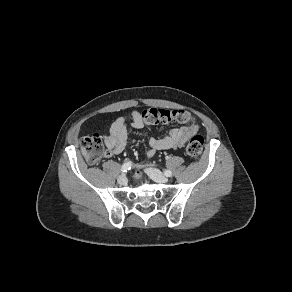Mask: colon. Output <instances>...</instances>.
Here are the masks:
<instances>
[{
	"label": "colon",
	"mask_w": 292,
	"mask_h": 292,
	"mask_svg": "<svg viewBox=\"0 0 292 292\" xmlns=\"http://www.w3.org/2000/svg\"><path fill=\"white\" fill-rule=\"evenodd\" d=\"M142 116L148 123L158 122H186L188 116L184 110L147 109ZM80 148L86 161L90 164L98 162L103 154L104 147L102 137L99 134L85 136L80 140ZM204 139L200 135L193 136L187 144L186 152L193 158H199L203 152Z\"/></svg>",
	"instance_id": "5ec220e1"
}]
</instances>
